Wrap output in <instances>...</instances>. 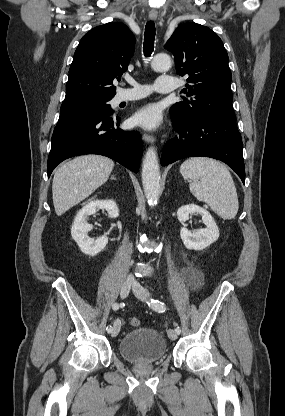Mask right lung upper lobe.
<instances>
[{
    "label": "right lung upper lobe",
    "instance_id": "1",
    "mask_svg": "<svg viewBox=\"0 0 285 416\" xmlns=\"http://www.w3.org/2000/svg\"><path fill=\"white\" fill-rule=\"evenodd\" d=\"M135 37L123 23H107L81 39L69 69L65 101L112 99L113 81L127 70Z\"/></svg>",
    "mask_w": 285,
    "mask_h": 416
}]
</instances>
